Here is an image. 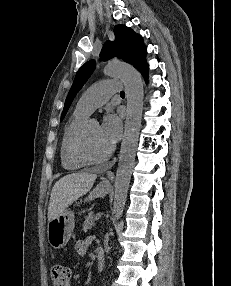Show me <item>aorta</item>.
Here are the masks:
<instances>
[{
    "label": "aorta",
    "mask_w": 231,
    "mask_h": 286,
    "mask_svg": "<svg viewBox=\"0 0 231 286\" xmlns=\"http://www.w3.org/2000/svg\"><path fill=\"white\" fill-rule=\"evenodd\" d=\"M104 73L108 76L119 77L122 80L127 98L124 135L114 184L113 216L114 220H118L122 216L125 207L135 161L141 128L144 90L141 75L129 64L108 63L104 67Z\"/></svg>",
    "instance_id": "1"
}]
</instances>
